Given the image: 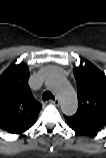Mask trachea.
<instances>
[{
    "instance_id": "3493384b",
    "label": "trachea",
    "mask_w": 106,
    "mask_h": 158,
    "mask_svg": "<svg viewBox=\"0 0 106 158\" xmlns=\"http://www.w3.org/2000/svg\"><path fill=\"white\" fill-rule=\"evenodd\" d=\"M42 99H43V101H46V100H48V99L54 100L55 98H54V96H53V94H52L51 92L45 91V92L43 93V95H42Z\"/></svg>"
}]
</instances>
